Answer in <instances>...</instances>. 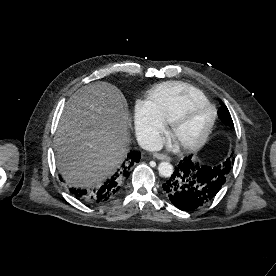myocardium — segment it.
Listing matches in <instances>:
<instances>
[{"label":"myocardium","instance_id":"f54148a6","mask_svg":"<svg viewBox=\"0 0 276 276\" xmlns=\"http://www.w3.org/2000/svg\"><path fill=\"white\" fill-rule=\"evenodd\" d=\"M198 104H205L208 107H210L212 110V117H211V120H210L208 126L206 127V129L203 131V133L198 138L188 141V142L180 143V146L185 150L198 149L207 141V139L209 138V136L215 126L216 120H217L218 112H217L216 107L211 102H209L206 98L191 100L183 107V109L169 123L171 135L175 138V134H176V131H177L179 125L186 118L187 114L193 108V106L198 105Z\"/></svg>","mask_w":276,"mask_h":276}]
</instances>
